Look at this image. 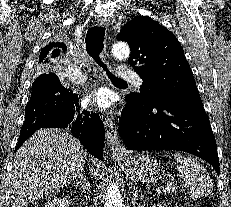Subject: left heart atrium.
I'll return each instance as SVG.
<instances>
[{"instance_id": "39dd6f15", "label": "left heart atrium", "mask_w": 231, "mask_h": 207, "mask_svg": "<svg viewBox=\"0 0 231 207\" xmlns=\"http://www.w3.org/2000/svg\"><path fill=\"white\" fill-rule=\"evenodd\" d=\"M84 102L87 105L105 110L112 105V96L107 90L100 89L87 94L84 98Z\"/></svg>"}]
</instances>
